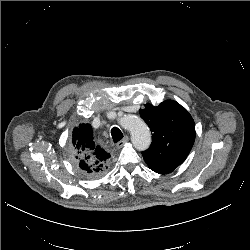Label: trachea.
<instances>
[{
  "label": "trachea",
  "mask_w": 250,
  "mask_h": 250,
  "mask_svg": "<svg viewBox=\"0 0 250 250\" xmlns=\"http://www.w3.org/2000/svg\"><path fill=\"white\" fill-rule=\"evenodd\" d=\"M111 136H112L114 143H117L118 141H120L123 138L122 132L117 127H113L111 129Z\"/></svg>",
  "instance_id": "obj_1"
}]
</instances>
